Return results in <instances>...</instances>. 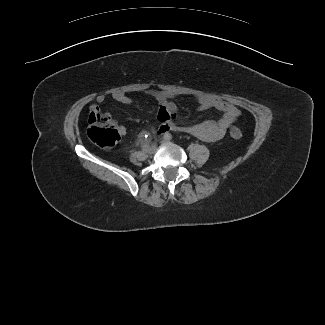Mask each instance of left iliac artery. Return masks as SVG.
<instances>
[{
    "label": "left iliac artery",
    "instance_id": "left-iliac-artery-1",
    "mask_svg": "<svg viewBox=\"0 0 325 325\" xmlns=\"http://www.w3.org/2000/svg\"><path fill=\"white\" fill-rule=\"evenodd\" d=\"M164 139H168V140H171L172 139V135L170 133H166L164 135Z\"/></svg>",
    "mask_w": 325,
    "mask_h": 325
}]
</instances>
